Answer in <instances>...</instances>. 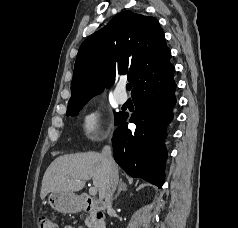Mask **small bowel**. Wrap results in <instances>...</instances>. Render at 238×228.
Masks as SVG:
<instances>
[{
	"label": "small bowel",
	"mask_w": 238,
	"mask_h": 228,
	"mask_svg": "<svg viewBox=\"0 0 238 228\" xmlns=\"http://www.w3.org/2000/svg\"><path fill=\"white\" fill-rule=\"evenodd\" d=\"M58 228V227H57ZM64 228H74V227H72V226H65Z\"/></svg>",
	"instance_id": "1"
}]
</instances>
